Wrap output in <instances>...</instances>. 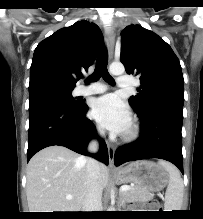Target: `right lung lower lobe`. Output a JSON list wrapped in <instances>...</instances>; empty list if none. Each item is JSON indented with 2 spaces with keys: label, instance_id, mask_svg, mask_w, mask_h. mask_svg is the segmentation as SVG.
<instances>
[{
  "label": "right lung lower lobe",
  "instance_id": "obj_1",
  "mask_svg": "<svg viewBox=\"0 0 203 219\" xmlns=\"http://www.w3.org/2000/svg\"><path fill=\"white\" fill-rule=\"evenodd\" d=\"M88 106H69L55 97H35L29 100V138L27 161L41 149L60 145L77 153L90 155L108 164V150L93 123L85 117ZM100 142L98 154L87 153L90 139Z\"/></svg>",
  "mask_w": 203,
  "mask_h": 219
}]
</instances>
